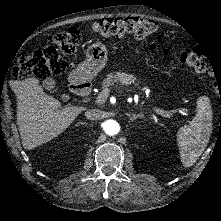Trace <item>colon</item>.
<instances>
[{
  "instance_id": "1",
  "label": "colon",
  "mask_w": 221,
  "mask_h": 221,
  "mask_svg": "<svg viewBox=\"0 0 221 221\" xmlns=\"http://www.w3.org/2000/svg\"><path fill=\"white\" fill-rule=\"evenodd\" d=\"M92 29L103 37H121L129 34L140 40L151 38L153 45L159 39L156 23L136 16L103 18L95 21ZM81 41L82 35L75 29L49 34L47 36L49 47L17 57L12 69V77L25 79L35 76L43 80H52L53 75L63 72L67 67L62 57L73 55ZM177 56L182 63L194 67L198 73H211L210 60L200 51L187 50Z\"/></svg>"
}]
</instances>
